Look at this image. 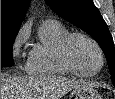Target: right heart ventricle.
<instances>
[{
  "label": "right heart ventricle",
  "instance_id": "e07e8e85",
  "mask_svg": "<svg viewBox=\"0 0 115 99\" xmlns=\"http://www.w3.org/2000/svg\"><path fill=\"white\" fill-rule=\"evenodd\" d=\"M68 34L70 31L62 23L45 21L39 31V42L28 54L27 72L37 76L71 74L59 57L60 44Z\"/></svg>",
  "mask_w": 115,
  "mask_h": 99
}]
</instances>
